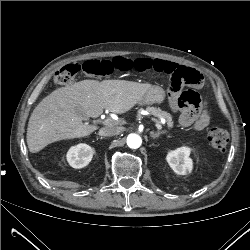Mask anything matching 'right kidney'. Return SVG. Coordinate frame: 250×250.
<instances>
[{
  "instance_id": "1",
  "label": "right kidney",
  "mask_w": 250,
  "mask_h": 250,
  "mask_svg": "<svg viewBox=\"0 0 250 250\" xmlns=\"http://www.w3.org/2000/svg\"><path fill=\"white\" fill-rule=\"evenodd\" d=\"M94 149L87 144H78L69 149L67 161L71 167L80 169L89 164L92 160Z\"/></svg>"
}]
</instances>
